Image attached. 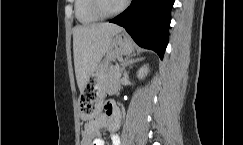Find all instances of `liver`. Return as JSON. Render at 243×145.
Here are the masks:
<instances>
[{"instance_id": "liver-1", "label": "liver", "mask_w": 243, "mask_h": 145, "mask_svg": "<svg viewBox=\"0 0 243 145\" xmlns=\"http://www.w3.org/2000/svg\"><path fill=\"white\" fill-rule=\"evenodd\" d=\"M122 27L111 23L77 25L73 29V52L76 80L80 92L84 91L90 75L109 51L113 37Z\"/></svg>"}]
</instances>
